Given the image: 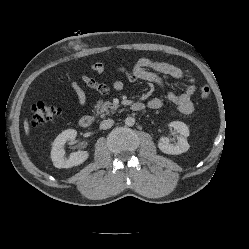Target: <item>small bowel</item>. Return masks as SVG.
Instances as JSON below:
<instances>
[{"instance_id": "small-bowel-1", "label": "small bowel", "mask_w": 249, "mask_h": 249, "mask_svg": "<svg viewBox=\"0 0 249 249\" xmlns=\"http://www.w3.org/2000/svg\"><path fill=\"white\" fill-rule=\"evenodd\" d=\"M92 71H94L99 76H104L106 69L103 63L96 62L91 66ZM116 72L124 74L130 81L134 82L136 80H144L150 83H154L162 88H165V84L162 75L170 76L176 81H182L186 75L189 78V84L185 88L184 92L181 94H176L173 91L166 92V98L168 101L173 103L181 114L189 115L194 111V105L192 102V97L197 90L196 79L192 76L190 72L184 73L180 68L175 65L166 62L155 61L149 58L138 59L131 70H128L122 66L116 68ZM80 79L88 87L94 89L100 94H109L111 89L115 91H122L124 88V83L121 80H116L110 87L107 84L97 81L95 78L90 77L86 74H81ZM70 86L75 94L77 103L80 106H85L87 104V94L85 90L77 81H71ZM150 109L156 110L162 107L163 101L160 98H152L147 103Z\"/></svg>"}]
</instances>
